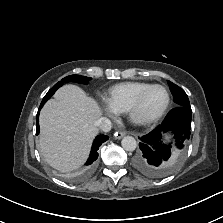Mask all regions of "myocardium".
Returning <instances> with one entry per match:
<instances>
[{
  "instance_id": "1",
  "label": "myocardium",
  "mask_w": 223,
  "mask_h": 223,
  "mask_svg": "<svg viewBox=\"0 0 223 223\" xmlns=\"http://www.w3.org/2000/svg\"><path fill=\"white\" fill-rule=\"evenodd\" d=\"M155 88H161L166 93V102H165L164 107L161 109V111L158 114H156L153 117H149V118H141V117H139L138 116V112L140 110V107H141L145 97L147 96V94L151 90H153ZM170 101H171V98H170V93H169L168 89L165 86L161 85V84H153V85L149 86L148 88H146L145 90H143L139 94V96L136 98V100L133 102V104L131 105V107L127 111L128 118L131 121V123H133L136 126H148V125H151V124L157 122L166 113L167 109L169 108Z\"/></svg>"
}]
</instances>
